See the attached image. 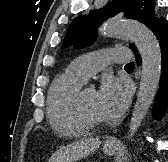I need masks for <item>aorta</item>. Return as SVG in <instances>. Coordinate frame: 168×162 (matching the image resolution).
Segmentation results:
<instances>
[{
  "label": "aorta",
  "instance_id": "762f6f07",
  "mask_svg": "<svg viewBox=\"0 0 168 162\" xmlns=\"http://www.w3.org/2000/svg\"><path fill=\"white\" fill-rule=\"evenodd\" d=\"M99 33L106 37L131 38L142 57L140 86L129 124L128 138L132 139L147 114L159 86L162 62L160 46L153 32L136 21L111 19Z\"/></svg>",
  "mask_w": 168,
  "mask_h": 162
}]
</instances>
